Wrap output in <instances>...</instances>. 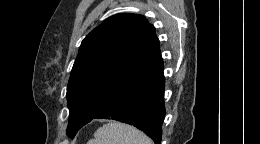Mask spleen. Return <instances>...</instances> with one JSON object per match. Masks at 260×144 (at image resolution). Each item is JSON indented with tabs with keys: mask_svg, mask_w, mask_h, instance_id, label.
Here are the masks:
<instances>
[{
	"mask_svg": "<svg viewBox=\"0 0 260 144\" xmlns=\"http://www.w3.org/2000/svg\"><path fill=\"white\" fill-rule=\"evenodd\" d=\"M88 144H153L152 141L138 129L120 122H110L98 128L94 139Z\"/></svg>",
	"mask_w": 260,
	"mask_h": 144,
	"instance_id": "spleen-1",
	"label": "spleen"
}]
</instances>
